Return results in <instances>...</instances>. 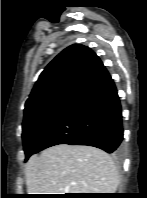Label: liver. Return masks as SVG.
I'll list each match as a JSON object with an SVG mask.
<instances>
[{"instance_id": "liver-1", "label": "liver", "mask_w": 147, "mask_h": 198, "mask_svg": "<svg viewBox=\"0 0 147 198\" xmlns=\"http://www.w3.org/2000/svg\"><path fill=\"white\" fill-rule=\"evenodd\" d=\"M25 174L28 194L114 193L119 183L111 156L87 145L49 147L29 158Z\"/></svg>"}]
</instances>
